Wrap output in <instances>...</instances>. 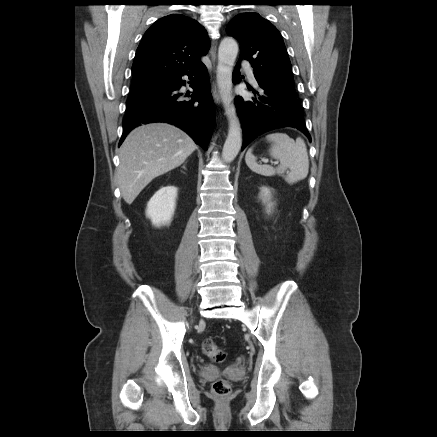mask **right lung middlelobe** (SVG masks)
Returning <instances> with one entry per match:
<instances>
[{"label":"right lung middle lobe","mask_w":437,"mask_h":437,"mask_svg":"<svg viewBox=\"0 0 437 437\" xmlns=\"http://www.w3.org/2000/svg\"><path fill=\"white\" fill-rule=\"evenodd\" d=\"M167 80H143L133 82L130 96L138 95L163 86Z\"/></svg>","instance_id":"1"}]
</instances>
